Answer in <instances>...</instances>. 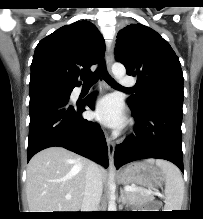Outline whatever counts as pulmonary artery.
Here are the masks:
<instances>
[{
  "instance_id": "pulmonary-artery-1",
  "label": "pulmonary artery",
  "mask_w": 203,
  "mask_h": 219,
  "mask_svg": "<svg viewBox=\"0 0 203 219\" xmlns=\"http://www.w3.org/2000/svg\"><path fill=\"white\" fill-rule=\"evenodd\" d=\"M120 83L123 87L130 88V87H133L135 85V80H134V78H132L130 76H125V77L121 78Z\"/></svg>"
}]
</instances>
